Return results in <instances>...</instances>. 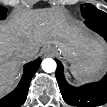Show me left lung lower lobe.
Masks as SVG:
<instances>
[{
    "mask_svg": "<svg viewBox=\"0 0 107 107\" xmlns=\"http://www.w3.org/2000/svg\"><path fill=\"white\" fill-rule=\"evenodd\" d=\"M85 24L107 41L106 13L86 19ZM56 61L58 64L56 78L66 103L79 107H97L107 103V75L100 82L73 87L64 78L61 62L59 60Z\"/></svg>",
    "mask_w": 107,
    "mask_h": 107,
    "instance_id": "0a47b994",
    "label": "left lung lower lobe"
}]
</instances>
